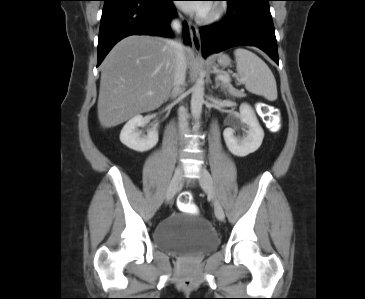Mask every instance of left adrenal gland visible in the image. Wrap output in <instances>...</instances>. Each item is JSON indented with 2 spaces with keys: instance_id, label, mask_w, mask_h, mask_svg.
<instances>
[{
  "instance_id": "1",
  "label": "left adrenal gland",
  "mask_w": 365,
  "mask_h": 299,
  "mask_svg": "<svg viewBox=\"0 0 365 299\" xmlns=\"http://www.w3.org/2000/svg\"><path fill=\"white\" fill-rule=\"evenodd\" d=\"M219 87L221 90H224V87L220 84V81L215 79V89H218Z\"/></svg>"
}]
</instances>
